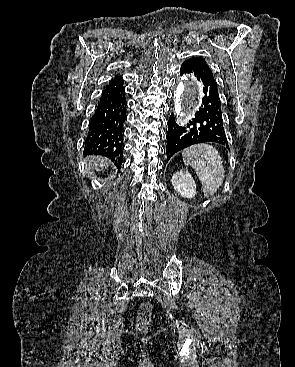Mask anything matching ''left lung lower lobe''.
I'll list each match as a JSON object with an SVG mask.
<instances>
[{
  "label": "left lung lower lobe",
  "mask_w": 295,
  "mask_h": 367,
  "mask_svg": "<svg viewBox=\"0 0 295 367\" xmlns=\"http://www.w3.org/2000/svg\"><path fill=\"white\" fill-rule=\"evenodd\" d=\"M194 74L202 81L204 97L199 110L187 127L178 126L172 115L168 121L166 154L169 160L176 152L193 144L215 142L228 146L222 117L221 100L217 83L210 67L195 58L186 60L181 65L180 75Z\"/></svg>",
  "instance_id": "obj_1"
}]
</instances>
